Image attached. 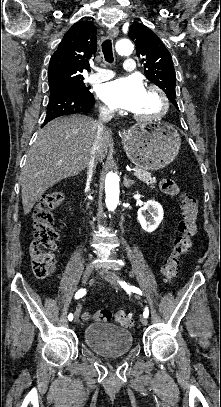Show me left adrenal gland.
<instances>
[{"instance_id": "a2214340", "label": "left adrenal gland", "mask_w": 221, "mask_h": 407, "mask_svg": "<svg viewBox=\"0 0 221 407\" xmlns=\"http://www.w3.org/2000/svg\"><path fill=\"white\" fill-rule=\"evenodd\" d=\"M123 183H124V186H125V187L129 188L130 186H132L133 184H135V181L132 180V179H128V178H127V175H125V176H124V181H123Z\"/></svg>"}]
</instances>
